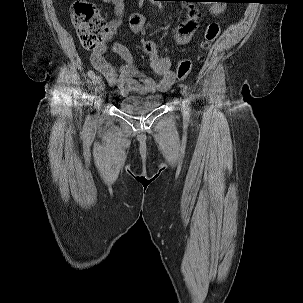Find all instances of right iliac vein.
Here are the masks:
<instances>
[{"label": "right iliac vein", "mask_w": 303, "mask_h": 303, "mask_svg": "<svg viewBox=\"0 0 303 303\" xmlns=\"http://www.w3.org/2000/svg\"><path fill=\"white\" fill-rule=\"evenodd\" d=\"M103 98H104V92H100L98 94V96L96 97V107H97V110L100 109L101 105H102V102H103Z\"/></svg>", "instance_id": "63e3f726"}]
</instances>
